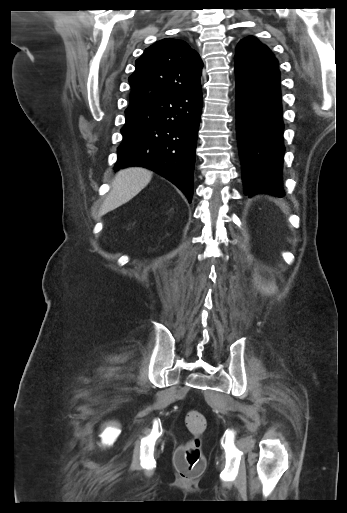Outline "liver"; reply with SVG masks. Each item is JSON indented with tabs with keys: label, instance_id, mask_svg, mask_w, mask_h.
Returning <instances> with one entry per match:
<instances>
[{
	"label": "liver",
	"instance_id": "obj_1",
	"mask_svg": "<svg viewBox=\"0 0 347 513\" xmlns=\"http://www.w3.org/2000/svg\"><path fill=\"white\" fill-rule=\"evenodd\" d=\"M151 178L152 172L142 167H129L118 171L101 213L106 214L129 202L148 185Z\"/></svg>",
	"mask_w": 347,
	"mask_h": 513
}]
</instances>
